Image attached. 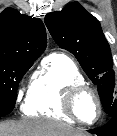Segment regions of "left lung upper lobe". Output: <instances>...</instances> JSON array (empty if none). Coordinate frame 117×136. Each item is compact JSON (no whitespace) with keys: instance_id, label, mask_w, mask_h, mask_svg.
<instances>
[{"instance_id":"left-lung-upper-lobe-1","label":"left lung upper lobe","mask_w":117,"mask_h":136,"mask_svg":"<svg viewBox=\"0 0 117 136\" xmlns=\"http://www.w3.org/2000/svg\"><path fill=\"white\" fill-rule=\"evenodd\" d=\"M45 24L59 47L75 55L85 73L97 84L104 110L117 114L115 77L109 44L99 21L79 3L45 16Z\"/></svg>"}]
</instances>
